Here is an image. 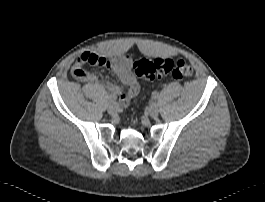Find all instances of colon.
I'll return each mask as SVG.
<instances>
[{"label":"colon","mask_w":265,"mask_h":202,"mask_svg":"<svg viewBox=\"0 0 265 202\" xmlns=\"http://www.w3.org/2000/svg\"><path fill=\"white\" fill-rule=\"evenodd\" d=\"M133 72L146 82H153L161 77L181 81L193 75V68L183 59L139 58L133 63ZM84 74L82 67L73 71V75L77 78H82Z\"/></svg>","instance_id":"obj_1"}]
</instances>
